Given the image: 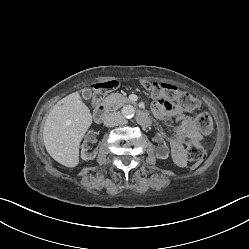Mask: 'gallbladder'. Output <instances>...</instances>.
Returning <instances> with one entry per match:
<instances>
[{
    "label": "gallbladder",
    "mask_w": 249,
    "mask_h": 249,
    "mask_svg": "<svg viewBox=\"0 0 249 249\" xmlns=\"http://www.w3.org/2000/svg\"><path fill=\"white\" fill-rule=\"evenodd\" d=\"M92 96L93 94L90 89H82V97L84 98V100L89 101L91 100Z\"/></svg>",
    "instance_id": "bac80fb5"
}]
</instances>
